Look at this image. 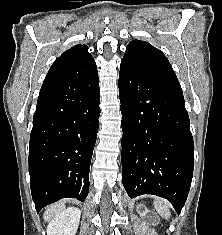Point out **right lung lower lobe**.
<instances>
[{"instance_id": "1", "label": "right lung lower lobe", "mask_w": 222, "mask_h": 235, "mask_svg": "<svg viewBox=\"0 0 222 235\" xmlns=\"http://www.w3.org/2000/svg\"><path fill=\"white\" fill-rule=\"evenodd\" d=\"M97 71L44 81L33 116L29 174L37 213L62 198L84 201L100 116Z\"/></svg>"}]
</instances>
